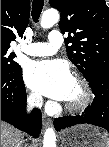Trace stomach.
I'll list each match as a JSON object with an SVG mask.
<instances>
[{
  "instance_id": "stomach-1",
  "label": "stomach",
  "mask_w": 109,
  "mask_h": 147,
  "mask_svg": "<svg viewBox=\"0 0 109 147\" xmlns=\"http://www.w3.org/2000/svg\"><path fill=\"white\" fill-rule=\"evenodd\" d=\"M64 147H106L108 134L100 128L88 124H79L61 133Z\"/></svg>"
}]
</instances>
